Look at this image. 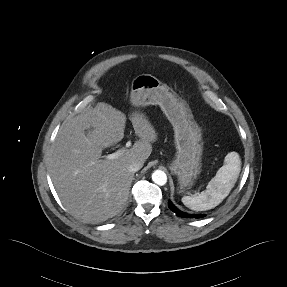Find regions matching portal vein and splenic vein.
Masks as SVG:
<instances>
[{
	"instance_id": "18ae733b",
	"label": "portal vein and splenic vein",
	"mask_w": 287,
	"mask_h": 287,
	"mask_svg": "<svg viewBox=\"0 0 287 287\" xmlns=\"http://www.w3.org/2000/svg\"><path fill=\"white\" fill-rule=\"evenodd\" d=\"M130 146H131V142L128 141V142L126 143V147H130ZM123 151H124L123 149H119V150H117L116 152L107 155V156H106V159H107V160L116 159V158H118V157L123 153Z\"/></svg>"
}]
</instances>
